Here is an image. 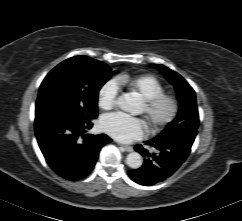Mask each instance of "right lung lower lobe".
<instances>
[{
  "instance_id": "98d812e1",
  "label": "right lung lower lobe",
  "mask_w": 242,
  "mask_h": 221,
  "mask_svg": "<svg viewBox=\"0 0 242 221\" xmlns=\"http://www.w3.org/2000/svg\"><path fill=\"white\" fill-rule=\"evenodd\" d=\"M92 120L48 115L35 119L39 147L50 167L61 177L77 181L88 175L103 145L111 142L105 134H85Z\"/></svg>"
}]
</instances>
